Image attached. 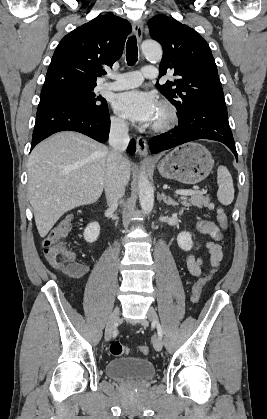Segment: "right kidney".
I'll return each mask as SVG.
<instances>
[{
	"label": "right kidney",
	"instance_id": "ca27d5eb",
	"mask_svg": "<svg viewBox=\"0 0 267 419\" xmlns=\"http://www.w3.org/2000/svg\"><path fill=\"white\" fill-rule=\"evenodd\" d=\"M100 234V225L98 222H91L84 230V239L89 242H95Z\"/></svg>",
	"mask_w": 267,
	"mask_h": 419
}]
</instances>
